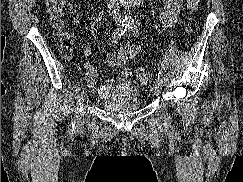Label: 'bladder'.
<instances>
[{
    "label": "bladder",
    "instance_id": "31cf9c89",
    "mask_svg": "<svg viewBox=\"0 0 243 182\" xmlns=\"http://www.w3.org/2000/svg\"><path fill=\"white\" fill-rule=\"evenodd\" d=\"M101 107L106 112L113 114L132 113L141 108V100L139 97L131 95L116 101L103 100Z\"/></svg>",
    "mask_w": 243,
    "mask_h": 182
}]
</instances>
